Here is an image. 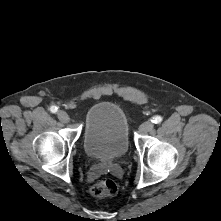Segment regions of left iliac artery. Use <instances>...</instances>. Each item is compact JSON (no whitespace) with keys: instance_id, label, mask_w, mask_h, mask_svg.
I'll use <instances>...</instances> for the list:
<instances>
[{"instance_id":"obj_1","label":"left iliac artery","mask_w":221,"mask_h":221,"mask_svg":"<svg viewBox=\"0 0 221 221\" xmlns=\"http://www.w3.org/2000/svg\"><path fill=\"white\" fill-rule=\"evenodd\" d=\"M151 121L155 124H159V123L162 122V117L161 116H155V117H153V119Z\"/></svg>"}]
</instances>
